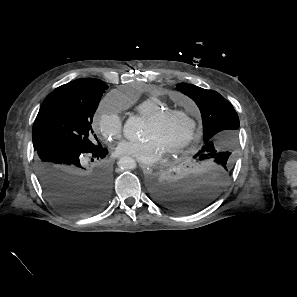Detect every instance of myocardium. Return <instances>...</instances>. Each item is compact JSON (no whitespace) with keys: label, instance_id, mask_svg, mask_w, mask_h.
Returning a JSON list of instances; mask_svg holds the SVG:
<instances>
[{"label":"myocardium","instance_id":"obj_1","mask_svg":"<svg viewBox=\"0 0 297 297\" xmlns=\"http://www.w3.org/2000/svg\"><path fill=\"white\" fill-rule=\"evenodd\" d=\"M179 116L184 117L189 122L190 129H189L188 135L182 142L168 149L165 152L167 156H174L182 153L195 141L198 134V126L195 118L188 111L180 110V109H168L148 119L149 123L153 125H159L169 118H174Z\"/></svg>","mask_w":297,"mask_h":297}]
</instances>
